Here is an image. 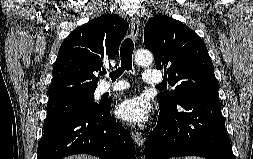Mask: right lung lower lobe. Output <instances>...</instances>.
<instances>
[{
  "instance_id": "1",
  "label": "right lung lower lobe",
  "mask_w": 253,
  "mask_h": 159,
  "mask_svg": "<svg viewBox=\"0 0 253 159\" xmlns=\"http://www.w3.org/2000/svg\"><path fill=\"white\" fill-rule=\"evenodd\" d=\"M110 102L96 110H82L44 129L37 159H61L91 154L102 159H135L129 132L110 115Z\"/></svg>"
}]
</instances>
